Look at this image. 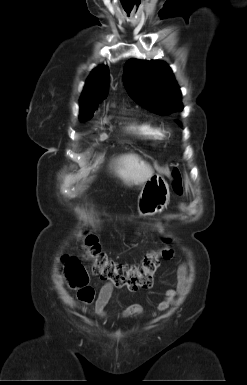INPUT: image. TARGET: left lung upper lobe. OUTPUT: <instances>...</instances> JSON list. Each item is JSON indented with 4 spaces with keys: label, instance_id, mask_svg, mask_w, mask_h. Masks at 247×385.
Returning <instances> with one entry per match:
<instances>
[{
    "label": "left lung upper lobe",
    "instance_id": "obj_1",
    "mask_svg": "<svg viewBox=\"0 0 247 385\" xmlns=\"http://www.w3.org/2000/svg\"><path fill=\"white\" fill-rule=\"evenodd\" d=\"M123 81L130 97L159 114L181 111V92L170 67L163 61L131 59L126 62Z\"/></svg>",
    "mask_w": 247,
    "mask_h": 385
}]
</instances>
